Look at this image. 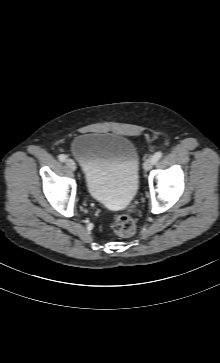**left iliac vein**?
Masks as SVG:
<instances>
[{
    "mask_svg": "<svg viewBox=\"0 0 220 363\" xmlns=\"http://www.w3.org/2000/svg\"><path fill=\"white\" fill-rule=\"evenodd\" d=\"M153 166L152 158H147L143 164V168L145 171H149Z\"/></svg>",
    "mask_w": 220,
    "mask_h": 363,
    "instance_id": "1",
    "label": "left iliac vein"
}]
</instances>
